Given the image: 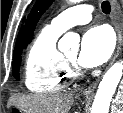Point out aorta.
I'll return each mask as SVG.
<instances>
[{"instance_id": "aorta-1", "label": "aorta", "mask_w": 123, "mask_h": 113, "mask_svg": "<svg viewBox=\"0 0 123 113\" xmlns=\"http://www.w3.org/2000/svg\"><path fill=\"white\" fill-rule=\"evenodd\" d=\"M79 2L80 0H71ZM80 38L76 33L68 32L59 41L58 47L61 51L71 49L78 51ZM123 75V61L114 63L103 76L99 84L91 113H109V106L116 87Z\"/></svg>"}]
</instances>
